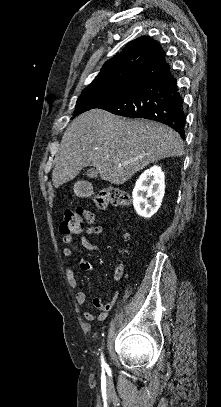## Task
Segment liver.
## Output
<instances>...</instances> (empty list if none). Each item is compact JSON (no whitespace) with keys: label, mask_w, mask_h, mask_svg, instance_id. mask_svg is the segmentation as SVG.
<instances>
[{"label":"liver","mask_w":221,"mask_h":407,"mask_svg":"<svg viewBox=\"0 0 221 407\" xmlns=\"http://www.w3.org/2000/svg\"><path fill=\"white\" fill-rule=\"evenodd\" d=\"M184 154V143L172 128L148 120L121 118L101 109L76 117L59 145L52 182L55 188L87 166L121 185L150 163Z\"/></svg>","instance_id":"6515ba94"}]
</instances>
